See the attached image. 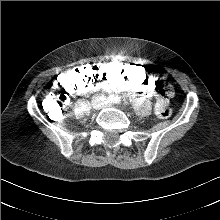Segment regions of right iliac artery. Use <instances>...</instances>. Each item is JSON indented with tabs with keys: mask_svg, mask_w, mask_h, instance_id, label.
<instances>
[{
	"mask_svg": "<svg viewBox=\"0 0 220 220\" xmlns=\"http://www.w3.org/2000/svg\"><path fill=\"white\" fill-rule=\"evenodd\" d=\"M111 98H112V95H110L108 98H107V101H111Z\"/></svg>",
	"mask_w": 220,
	"mask_h": 220,
	"instance_id": "82829eb1",
	"label": "right iliac artery"
}]
</instances>
